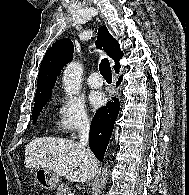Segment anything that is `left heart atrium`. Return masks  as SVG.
<instances>
[{
  "instance_id": "1",
  "label": "left heart atrium",
  "mask_w": 189,
  "mask_h": 195,
  "mask_svg": "<svg viewBox=\"0 0 189 195\" xmlns=\"http://www.w3.org/2000/svg\"><path fill=\"white\" fill-rule=\"evenodd\" d=\"M105 97L100 92H92L89 95V102L93 109H98L104 104Z\"/></svg>"
}]
</instances>
